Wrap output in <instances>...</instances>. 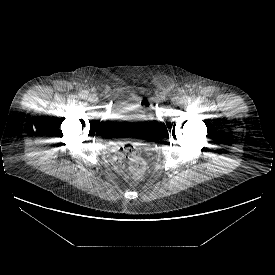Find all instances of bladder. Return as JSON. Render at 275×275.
I'll return each instance as SVG.
<instances>
[{"mask_svg": "<svg viewBox=\"0 0 275 275\" xmlns=\"http://www.w3.org/2000/svg\"><path fill=\"white\" fill-rule=\"evenodd\" d=\"M144 104L143 101H121L111 110L107 125L114 129L132 127V131L148 126L152 122L151 113Z\"/></svg>", "mask_w": 275, "mask_h": 275, "instance_id": "1", "label": "bladder"}]
</instances>
